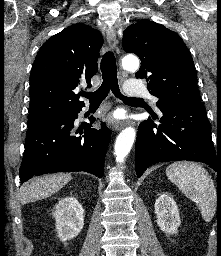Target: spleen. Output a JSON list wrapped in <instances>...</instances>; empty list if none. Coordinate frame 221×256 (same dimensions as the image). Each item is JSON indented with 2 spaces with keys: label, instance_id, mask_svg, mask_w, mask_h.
I'll return each instance as SVG.
<instances>
[{
  "label": "spleen",
  "instance_id": "1",
  "mask_svg": "<svg viewBox=\"0 0 221 256\" xmlns=\"http://www.w3.org/2000/svg\"><path fill=\"white\" fill-rule=\"evenodd\" d=\"M168 179L198 206L205 221H210L217 207V191L208 172L192 162H174L166 168Z\"/></svg>",
  "mask_w": 221,
  "mask_h": 256
}]
</instances>
